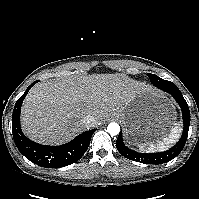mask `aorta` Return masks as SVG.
<instances>
[{
	"label": "aorta",
	"instance_id": "aorta-1",
	"mask_svg": "<svg viewBox=\"0 0 199 199\" xmlns=\"http://www.w3.org/2000/svg\"><path fill=\"white\" fill-rule=\"evenodd\" d=\"M107 131L110 135H117L120 132V126L117 123L112 122L107 126Z\"/></svg>",
	"mask_w": 199,
	"mask_h": 199
}]
</instances>
